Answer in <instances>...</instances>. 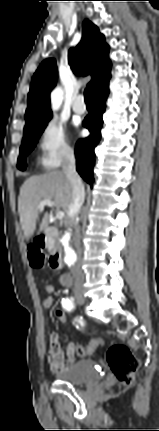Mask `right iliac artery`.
Returning a JSON list of instances; mask_svg holds the SVG:
<instances>
[{
	"label": "right iliac artery",
	"instance_id": "obj_1",
	"mask_svg": "<svg viewBox=\"0 0 159 431\" xmlns=\"http://www.w3.org/2000/svg\"><path fill=\"white\" fill-rule=\"evenodd\" d=\"M62 306L67 310L71 311L74 308V300L73 298L69 299H63L62 300Z\"/></svg>",
	"mask_w": 159,
	"mask_h": 431
}]
</instances>
